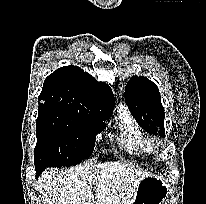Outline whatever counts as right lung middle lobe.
Masks as SVG:
<instances>
[{
    "label": "right lung middle lobe",
    "instance_id": "obj_1",
    "mask_svg": "<svg viewBox=\"0 0 206 204\" xmlns=\"http://www.w3.org/2000/svg\"><path fill=\"white\" fill-rule=\"evenodd\" d=\"M36 120L35 167H62L80 163L91 156L96 135L105 129L104 121L83 112L39 107Z\"/></svg>",
    "mask_w": 206,
    "mask_h": 204
}]
</instances>
